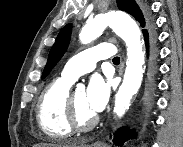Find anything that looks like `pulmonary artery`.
Instances as JSON below:
<instances>
[{
    "mask_svg": "<svg viewBox=\"0 0 183 147\" xmlns=\"http://www.w3.org/2000/svg\"><path fill=\"white\" fill-rule=\"evenodd\" d=\"M117 50L110 43H101L73 56L65 65L61 76L74 82L81 75L93 71L100 59L115 56Z\"/></svg>",
    "mask_w": 183,
    "mask_h": 147,
    "instance_id": "e3ab8cb5",
    "label": "pulmonary artery"
}]
</instances>
